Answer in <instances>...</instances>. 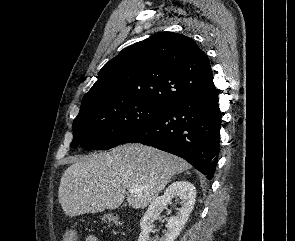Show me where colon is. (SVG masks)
Listing matches in <instances>:
<instances>
[{
	"instance_id": "obj_1",
	"label": "colon",
	"mask_w": 295,
	"mask_h": 241,
	"mask_svg": "<svg viewBox=\"0 0 295 241\" xmlns=\"http://www.w3.org/2000/svg\"><path fill=\"white\" fill-rule=\"evenodd\" d=\"M63 241H76V232L73 230H68L65 232Z\"/></svg>"
}]
</instances>
